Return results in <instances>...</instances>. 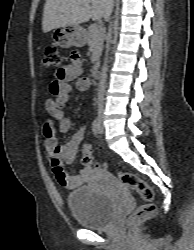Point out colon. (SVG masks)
<instances>
[{"label":"colon","mask_w":194,"mask_h":250,"mask_svg":"<svg viewBox=\"0 0 194 250\" xmlns=\"http://www.w3.org/2000/svg\"><path fill=\"white\" fill-rule=\"evenodd\" d=\"M61 56L58 49L54 46H48L43 51L42 65L45 68H59L61 65ZM82 164L87 167H97L91 155L90 145L85 143L82 146ZM120 182L137 192L143 200V204L130 216L128 222L135 223L138 220L151 216L155 212V205L153 203L154 191L150 185L140 178L138 175L127 171H120L118 173Z\"/></svg>","instance_id":"1"}]
</instances>
